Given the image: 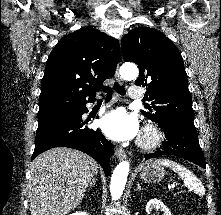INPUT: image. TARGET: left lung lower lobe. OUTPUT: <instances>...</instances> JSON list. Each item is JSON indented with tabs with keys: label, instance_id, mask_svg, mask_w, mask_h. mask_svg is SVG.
<instances>
[{
	"label": "left lung lower lobe",
	"instance_id": "obj_1",
	"mask_svg": "<svg viewBox=\"0 0 221 215\" xmlns=\"http://www.w3.org/2000/svg\"><path fill=\"white\" fill-rule=\"evenodd\" d=\"M165 134L161 150L145 155L150 159L162 155H174L185 158L203 168L205 159L200 148L197 132L193 121L189 120H164L159 122Z\"/></svg>",
	"mask_w": 221,
	"mask_h": 215
}]
</instances>
